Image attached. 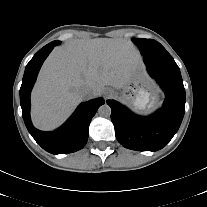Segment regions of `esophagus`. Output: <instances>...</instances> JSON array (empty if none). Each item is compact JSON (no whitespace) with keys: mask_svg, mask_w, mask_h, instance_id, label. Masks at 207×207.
Returning a JSON list of instances; mask_svg holds the SVG:
<instances>
[{"mask_svg":"<svg viewBox=\"0 0 207 207\" xmlns=\"http://www.w3.org/2000/svg\"><path fill=\"white\" fill-rule=\"evenodd\" d=\"M110 96V92H105L104 97L108 98Z\"/></svg>","mask_w":207,"mask_h":207,"instance_id":"34e87169","label":"esophagus"}]
</instances>
